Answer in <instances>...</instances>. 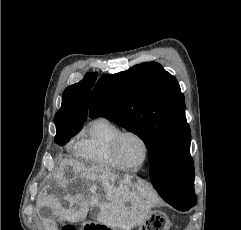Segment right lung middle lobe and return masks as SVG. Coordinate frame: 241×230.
<instances>
[{"label":"right lung middle lobe","mask_w":241,"mask_h":230,"mask_svg":"<svg viewBox=\"0 0 241 230\" xmlns=\"http://www.w3.org/2000/svg\"><path fill=\"white\" fill-rule=\"evenodd\" d=\"M56 127L57 134L55 136V142L60 146L69 142L70 138L75 136L82 128V126L69 123L56 124Z\"/></svg>","instance_id":"right-lung-middle-lobe-1"}]
</instances>
